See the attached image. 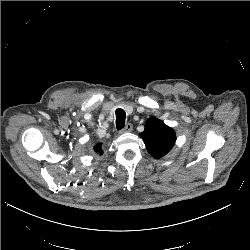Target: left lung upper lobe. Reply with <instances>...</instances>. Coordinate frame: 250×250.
Instances as JSON below:
<instances>
[{
  "label": "left lung upper lobe",
  "instance_id": "left-lung-upper-lobe-1",
  "mask_svg": "<svg viewBox=\"0 0 250 250\" xmlns=\"http://www.w3.org/2000/svg\"><path fill=\"white\" fill-rule=\"evenodd\" d=\"M140 136L148 152L157 159L165 156L176 141L174 130L155 117L146 121L145 129Z\"/></svg>",
  "mask_w": 250,
  "mask_h": 250
}]
</instances>
